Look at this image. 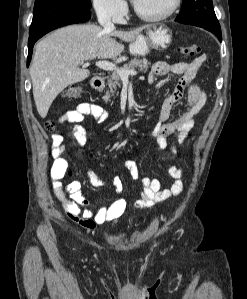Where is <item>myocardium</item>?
I'll use <instances>...</instances> for the list:
<instances>
[{
	"label": "myocardium",
	"mask_w": 247,
	"mask_h": 299,
	"mask_svg": "<svg viewBox=\"0 0 247 299\" xmlns=\"http://www.w3.org/2000/svg\"><path fill=\"white\" fill-rule=\"evenodd\" d=\"M180 3H181V0H172L169 7L164 12H161L158 14L144 13V12L140 11L136 7V5H134L133 9H134L135 14L142 20H145L148 22H158V21L165 20V19L169 18L170 16H172L175 13V11L178 9Z\"/></svg>",
	"instance_id": "myocardium-1"
}]
</instances>
